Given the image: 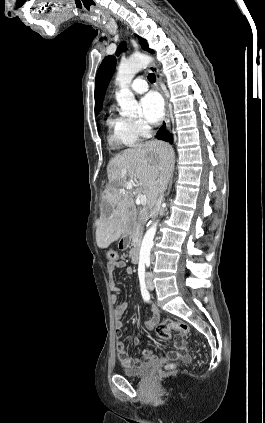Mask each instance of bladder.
<instances>
[{
  "mask_svg": "<svg viewBox=\"0 0 265 423\" xmlns=\"http://www.w3.org/2000/svg\"><path fill=\"white\" fill-rule=\"evenodd\" d=\"M148 368H149L148 364H143L142 366L137 368L126 367L121 370V373L127 377H138L143 375L147 371Z\"/></svg>",
  "mask_w": 265,
  "mask_h": 423,
  "instance_id": "1",
  "label": "bladder"
}]
</instances>
